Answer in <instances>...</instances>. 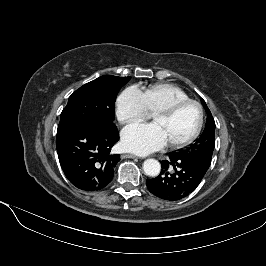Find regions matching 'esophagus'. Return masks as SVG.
I'll list each match as a JSON object with an SVG mask.
<instances>
[{"label": "esophagus", "instance_id": "obj_1", "mask_svg": "<svg viewBox=\"0 0 266 266\" xmlns=\"http://www.w3.org/2000/svg\"><path fill=\"white\" fill-rule=\"evenodd\" d=\"M125 157H127V158H140V157L133 155V154H126Z\"/></svg>", "mask_w": 266, "mask_h": 266}]
</instances>
